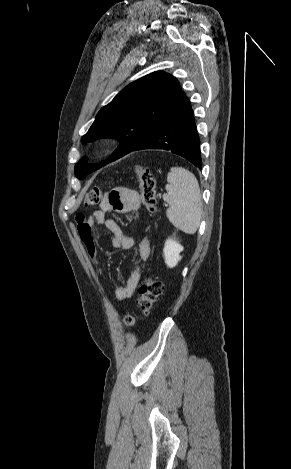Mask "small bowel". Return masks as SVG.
I'll use <instances>...</instances> for the list:
<instances>
[{
	"label": "small bowel",
	"instance_id": "small-bowel-1",
	"mask_svg": "<svg viewBox=\"0 0 291 469\" xmlns=\"http://www.w3.org/2000/svg\"><path fill=\"white\" fill-rule=\"evenodd\" d=\"M139 208L140 198L137 191L130 188L120 187L105 195L100 204L99 210L91 213L86 219L81 216L77 218L80 238L88 255L95 265H98L96 260V244L93 236V229L95 227L104 226L111 232L112 245L115 248L127 250L134 244V239L126 234L115 220L105 218V213L132 214L137 212ZM82 229H85L86 234L83 233ZM149 255V240L147 237H143L138 246V261L130 278L125 284H122L115 289V297L118 300H126L135 292L139 279V264L146 262Z\"/></svg>",
	"mask_w": 291,
	"mask_h": 469
}]
</instances>
